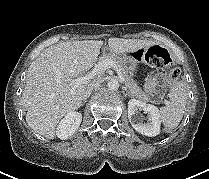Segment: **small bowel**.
<instances>
[{
	"label": "small bowel",
	"mask_w": 209,
	"mask_h": 179,
	"mask_svg": "<svg viewBox=\"0 0 209 179\" xmlns=\"http://www.w3.org/2000/svg\"><path fill=\"white\" fill-rule=\"evenodd\" d=\"M166 83L167 79L163 73H156L147 79L145 89L153 101L158 102L162 99Z\"/></svg>",
	"instance_id": "obj_1"
}]
</instances>
